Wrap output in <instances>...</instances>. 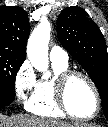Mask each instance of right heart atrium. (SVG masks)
Masks as SVG:
<instances>
[{
  "label": "right heart atrium",
  "mask_w": 108,
  "mask_h": 127,
  "mask_svg": "<svg viewBox=\"0 0 108 127\" xmlns=\"http://www.w3.org/2000/svg\"><path fill=\"white\" fill-rule=\"evenodd\" d=\"M38 85L35 71L29 61H24L18 68L14 78V88L17 98L27 105L30 96Z\"/></svg>",
  "instance_id": "right-heart-atrium-1"
}]
</instances>
